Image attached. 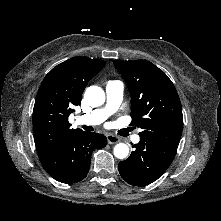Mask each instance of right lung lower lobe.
Segmentation results:
<instances>
[{"label": "right lung lower lobe", "mask_w": 221, "mask_h": 221, "mask_svg": "<svg viewBox=\"0 0 221 221\" xmlns=\"http://www.w3.org/2000/svg\"><path fill=\"white\" fill-rule=\"evenodd\" d=\"M107 138L93 132H79L53 151L40 157L46 172L55 180L71 184L83 180L90 168L91 155L103 148Z\"/></svg>", "instance_id": "obj_1"}]
</instances>
